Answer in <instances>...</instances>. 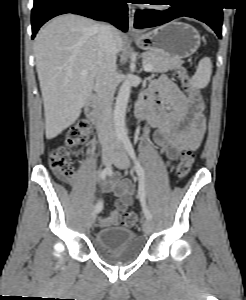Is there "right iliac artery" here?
<instances>
[{
    "mask_svg": "<svg viewBox=\"0 0 246 300\" xmlns=\"http://www.w3.org/2000/svg\"><path fill=\"white\" fill-rule=\"evenodd\" d=\"M112 168H113V167H112V165L110 164V165H108L106 168H104V169L100 172V179H101L102 181H105L106 178H107V176L110 175V174L112 173ZM102 208H103V204H102V202H100V200H99V202H97V204H96V206H95L94 212H95V213H99V212H101Z\"/></svg>",
    "mask_w": 246,
    "mask_h": 300,
    "instance_id": "obj_1",
    "label": "right iliac artery"
}]
</instances>
